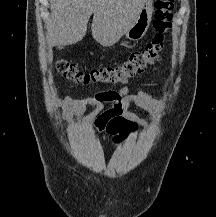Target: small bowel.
I'll return each mask as SVG.
<instances>
[{"label":"small bowel","instance_id":"1","mask_svg":"<svg viewBox=\"0 0 216 217\" xmlns=\"http://www.w3.org/2000/svg\"><path fill=\"white\" fill-rule=\"evenodd\" d=\"M159 67H154V71ZM109 104L110 107L105 109ZM136 105L140 109L146 111L150 115H156L162 108L163 104L159 100L152 97L144 90H138L131 93L128 87L120 89L104 90L87 96L82 99H76L70 96L57 101V106L63 110V116L70 118L73 115L82 116L87 106H92V113L85 119L91 124L96 132H101L119 120L128 121L130 124L138 125L145 130H149L147 121L129 111L130 105Z\"/></svg>","mask_w":216,"mask_h":217}]
</instances>
